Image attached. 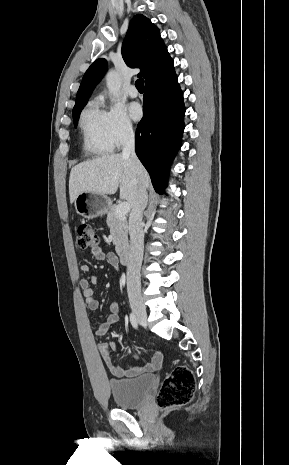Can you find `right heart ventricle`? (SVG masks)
<instances>
[{
	"label": "right heart ventricle",
	"instance_id": "right-heart-ventricle-1",
	"mask_svg": "<svg viewBox=\"0 0 289 465\" xmlns=\"http://www.w3.org/2000/svg\"><path fill=\"white\" fill-rule=\"evenodd\" d=\"M79 128L83 150L91 156L110 153L114 146L106 129L105 111L92 101L81 113Z\"/></svg>",
	"mask_w": 289,
	"mask_h": 465
}]
</instances>
